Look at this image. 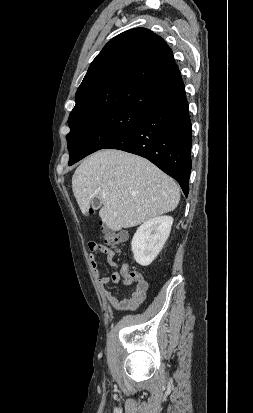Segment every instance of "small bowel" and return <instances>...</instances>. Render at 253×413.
Here are the masks:
<instances>
[{
    "label": "small bowel",
    "instance_id": "c3829d8e",
    "mask_svg": "<svg viewBox=\"0 0 253 413\" xmlns=\"http://www.w3.org/2000/svg\"><path fill=\"white\" fill-rule=\"evenodd\" d=\"M90 255L89 262L93 274L97 278L98 285L104 298L109 305L118 311H134L138 309L144 302L148 290V283L145 280H137L128 273V266H119L114 261L115 252L113 249L97 242H90L88 244ZM103 253L106 256L108 264L114 269L110 276H102L99 268L96 255ZM135 283L131 294L127 297H120L117 294L105 289V286L110 284L129 286Z\"/></svg>",
    "mask_w": 253,
    "mask_h": 413
}]
</instances>
